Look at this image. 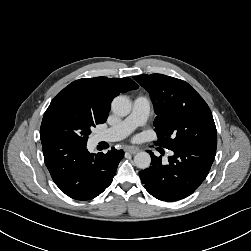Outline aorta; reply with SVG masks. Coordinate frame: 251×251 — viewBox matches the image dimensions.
I'll list each match as a JSON object with an SVG mask.
<instances>
[{"instance_id":"762f6f07","label":"aorta","mask_w":251,"mask_h":251,"mask_svg":"<svg viewBox=\"0 0 251 251\" xmlns=\"http://www.w3.org/2000/svg\"><path fill=\"white\" fill-rule=\"evenodd\" d=\"M111 109L118 116H127L131 112V103L125 96H117L111 103ZM134 163L140 169H146L150 166L151 157L147 152H138L134 156Z\"/></svg>"}]
</instances>
